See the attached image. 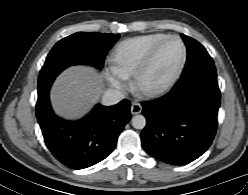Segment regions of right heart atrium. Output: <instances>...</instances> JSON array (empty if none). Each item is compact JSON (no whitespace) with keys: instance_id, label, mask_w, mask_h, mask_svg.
<instances>
[{"instance_id":"d8ad5b80","label":"right heart atrium","mask_w":248,"mask_h":195,"mask_svg":"<svg viewBox=\"0 0 248 195\" xmlns=\"http://www.w3.org/2000/svg\"><path fill=\"white\" fill-rule=\"evenodd\" d=\"M110 84L114 88L121 89L125 85L124 77L114 72L113 75L110 77Z\"/></svg>"}]
</instances>
